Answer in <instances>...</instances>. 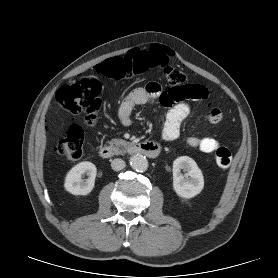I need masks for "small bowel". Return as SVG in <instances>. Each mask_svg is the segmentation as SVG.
<instances>
[{
  "instance_id": "c3829d8e",
  "label": "small bowel",
  "mask_w": 278,
  "mask_h": 278,
  "mask_svg": "<svg viewBox=\"0 0 278 278\" xmlns=\"http://www.w3.org/2000/svg\"><path fill=\"white\" fill-rule=\"evenodd\" d=\"M206 97L208 95L205 89ZM159 100L163 104L170 106L162 130V137L166 141H173L178 138L183 121L191 111L189 103L174 99L171 91H163L160 84L150 82L145 87H139L131 91L122 101L118 117L121 123L129 126L132 123L131 113L136 106L144 105L150 101ZM205 119L210 123H218L222 119L219 108L213 107L206 114ZM186 143L194 148H198L205 153H212L219 146V142L212 137L191 136L186 139Z\"/></svg>"
}]
</instances>
